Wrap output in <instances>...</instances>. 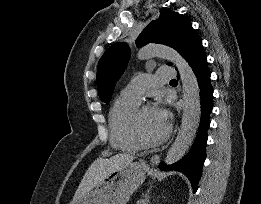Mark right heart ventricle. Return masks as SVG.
<instances>
[{"mask_svg":"<svg viewBox=\"0 0 261 204\" xmlns=\"http://www.w3.org/2000/svg\"><path fill=\"white\" fill-rule=\"evenodd\" d=\"M138 106L139 102L120 96L110 109L108 119L110 142L119 151L134 153L141 149L131 132V118Z\"/></svg>","mask_w":261,"mask_h":204,"instance_id":"right-heart-ventricle-1","label":"right heart ventricle"}]
</instances>
